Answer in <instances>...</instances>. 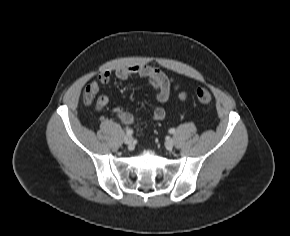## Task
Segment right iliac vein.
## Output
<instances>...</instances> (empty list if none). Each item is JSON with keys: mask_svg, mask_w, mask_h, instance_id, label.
<instances>
[{"mask_svg": "<svg viewBox=\"0 0 290 236\" xmlns=\"http://www.w3.org/2000/svg\"><path fill=\"white\" fill-rule=\"evenodd\" d=\"M133 142H134V140H133V137L131 135H126L124 137V143L126 145H128L129 147H132L133 146Z\"/></svg>", "mask_w": 290, "mask_h": 236, "instance_id": "right-iliac-vein-1", "label": "right iliac vein"}]
</instances>
